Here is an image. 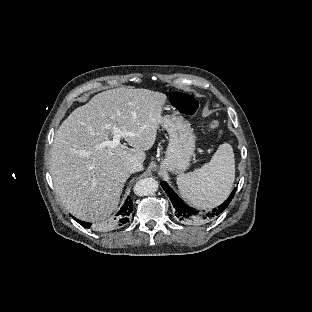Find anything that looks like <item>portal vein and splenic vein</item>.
I'll return each mask as SVG.
<instances>
[{
    "mask_svg": "<svg viewBox=\"0 0 312 312\" xmlns=\"http://www.w3.org/2000/svg\"><path fill=\"white\" fill-rule=\"evenodd\" d=\"M112 135L113 139L112 140H106L100 143L99 145L96 146L97 149L105 148V147H110V148H116L118 145H120V140L121 137L124 136H135V133L129 132V131H122L118 127L113 126L112 127Z\"/></svg>",
    "mask_w": 312,
    "mask_h": 312,
    "instance_id": "portal-vein-and-splenic-vein-1",
    "label": "portal vein and splenic vein"
}]
</instances>
